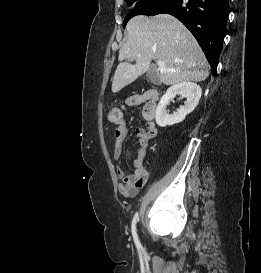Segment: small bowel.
<instances>
[{
  "label": "small bowel",
  "mask_w": 261,
  "mask_h": 273,
  "mask_svg": "<svg viewBox=\"0 0 261 273\" xmlns=\"http://www.w3.org/2000/svg\"><path fill=\"white\" fill-rule=\"evenodd\" d=\"M145 103L142 111V116L146 121V128L138 127L135 130V137L138 140L139 148L136 152V157L132 162L134 171L131 174H126L124 170L117 166V175L121 182L118 184L119 193L127 198L137 195L138 191L145 185L147 180V171L143 166V160L147 155V147L149 141L157 134V124L155 122L156 101L150 97V92L135 94L127 100L128 106H137ZM128 135V128L123 119L118 124L114 133V147L112 157L116 162L122 160L123 143Z\"/></svg>",
  "instance_id": "c3829d8e"
}]
</instances>
